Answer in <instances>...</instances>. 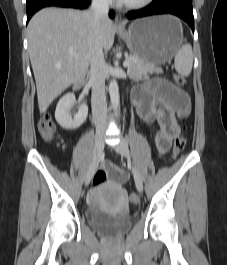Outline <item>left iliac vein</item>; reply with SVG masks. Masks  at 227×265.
Here are the masks:
<instances>
[{
	"instance_id": "left-iliac-vein-1",
	"label": "left iliac vein",
	"mask_w": 227,
	"mask_h": 265,
	"mask_svg": "<svg viewBox=\"0 0 227 265\" xmlns=\"http://www.w3.org/2000/svg\"><path fill=\"white\" fill-rule=\"evenodd\" d=\"M114 149L121 156H123L127 159L130 158L129 148H128V145H127L125 140L121 139L120 142L114 147ZM132 173L134 176V181H135V185H136L137 190L139 192H142L143 191V181H142V178H141L139 171L134 166L132 167Z\"/></svg>"
}]
</instances>
